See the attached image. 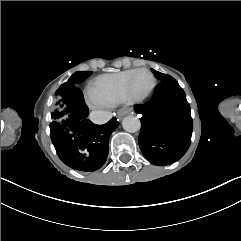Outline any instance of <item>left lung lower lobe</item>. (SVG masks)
Wrapping results in <instances>:
<instances>
[{"mask_svg":"<svg viewBox=\"0 0 241 241\" xmlns=\"http://www.w3.org/2000/svg\"><path fill=\"white\" fill-rule=\"evenodd\" d=\"M141 115L139 147L154 165H169L188 150L193 129L186 95L174 79L160 81L152 99L136 105Z\"/></svg>","mask_w":241,"mask_h":241,"instance_id":"left-lung-lower-lobe-1","label":"left lung lower lobe"}]
</instances>
